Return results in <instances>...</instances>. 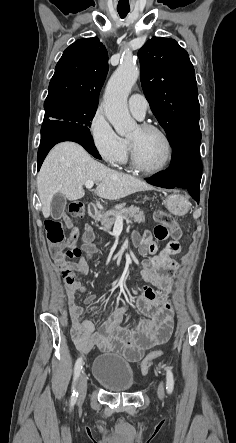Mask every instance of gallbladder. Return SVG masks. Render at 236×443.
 <instances>
[{"instance_id": "gallbladder-1", "label": "gallbladder", "mask_w": 236, "mask_h": 443, "mask_svg": "<svg viewBox=\"0 0 236 443\" xmlns=\"http://www.w3.org/2000/svg\"><path fill=\"white\" fill-rule=\"evenodd\" d=\"M67 199L63 194H56L51 200L50 214L53 219H60L64 213Z\"/></svg>"}]
</instances>
